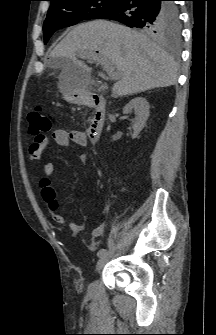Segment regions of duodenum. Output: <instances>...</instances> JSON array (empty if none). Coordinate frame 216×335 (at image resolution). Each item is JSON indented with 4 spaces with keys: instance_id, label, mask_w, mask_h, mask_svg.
<instances>
[{
    "instance_id": "410a0bca",
    "label": "duodenum",
    "mask_w": 216,
    "mask_h": 335,
    "mask_svg": "<svg viewBox=\"0 0 216 335\" xmlns=\"http://www.w3.org/2000/svg\"><path fill=\"white\" fill-rule=\"evenodd\" d=\"M88 105L94 109L89 124L88 135L91 140L97 141L104 126L106 112L104 99L98 94H93L89 97Z\"/></svg>"
}]
</instances>
